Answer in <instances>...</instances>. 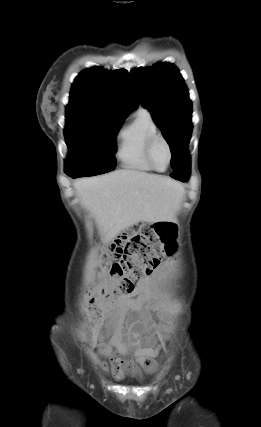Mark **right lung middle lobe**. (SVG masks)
<instances>
[{
  "instance_id": "1",
  "label": "right lung middle lobe",
  "mask_w": 261,
  "mask_h": 427,
  "mask_svg": "<svg viewBox=\"0 0 261 427\" xmlns=\"http://www.w3.org/2000/svg\"><path fill=\"white\" fill-rule=\"evenodd\" d=\"M123 118L92 113L66 114L65 139L69 149L65 173L85 177L103 174L116 167V134Z\"/></svg>"
}]
</instances>
